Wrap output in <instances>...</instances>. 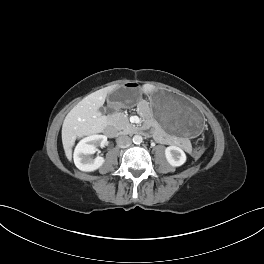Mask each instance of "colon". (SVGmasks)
<instances>
[{
    "mask_svg": "<svg viewBox=\"0 0 264 264\" xmlns=\"http://www.w3.org/2000/svg\"><path fill=\"white\" fill-rule=\"evenodd\" d=\"M203 146H197L194 148L192 154L195 156V157H200L203 153Z\"/></svg>",
    "mask_w": 264,
    "mask_h": 264,
    "instance_id": "colon-1",
    "label": "colon"
}]
</instances>
